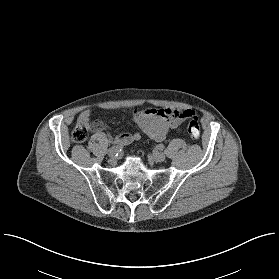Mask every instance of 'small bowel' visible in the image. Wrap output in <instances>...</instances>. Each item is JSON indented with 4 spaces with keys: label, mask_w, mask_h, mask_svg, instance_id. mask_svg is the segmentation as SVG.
<instances>
[{
    "label": "small bowel",
    "mask_w": 279,
    "mask_h": 279,
    "mask_svg": "<svg viewBox=\"0 0 279 279\" xmlns=\"http://www.w3.org/2000/svg\"><path fill=\"white\" fill-rule=\"evenodd\" d=\"M91 112L83 110L78 118L77 125L86 126L93 131H102L105 126L103 122L96 120L90 122ZM195 113L192 110H178L170 108H158L148 111H138L134 117L141 130L151 139L162 141L171 129L176 128L185 120L193 118ZM139 132L121 133L111 137L112 143L119 146H126L140 140Z\"/></svg>",
    "instance_id": "c3829d8e"
}]
</instances>
